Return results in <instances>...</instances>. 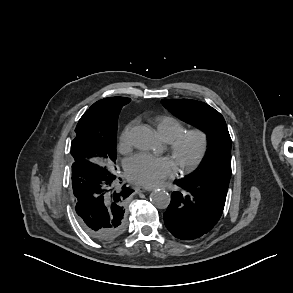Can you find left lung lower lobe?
Segmentation results:
<instances>
[{"label":"left lung lower lobe","mask_w":293,"mask_h":293,"mask_svg":"<svg viewBox=\"0 0 293 293\" xmlns=\"http://www.w3.org/2000/svg\"><path fill=\"white\" fill-rule=\"evenodd\" d=\"M176 185L179 189L171 194V202L164 213V223L179 239L199 238L220 219L228 185L201 183L187 178L176 181Z\"/></svg>","instance_id":"obj_1"}]
</instances>
